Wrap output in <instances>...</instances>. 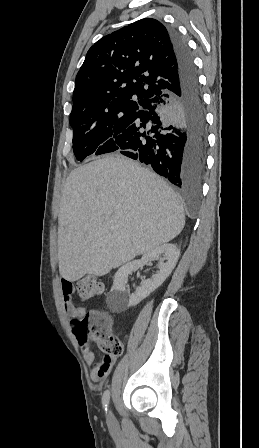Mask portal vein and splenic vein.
Masks as SVG:
<instances>
[{"label": "portal vein and splenic vein", "mask_w": 259, "mask_h": 448, "mask_svg": "<svg viewBox=\"0 0 259 448\" xmlns=\"http://www.w3.org/2000/svg\"><path fill=\"white\" fill-rule=\"evenodd\" d=\"M113 212H108V214H106L105 218H110V216H112Z\"/></svg>", "instance_id": "1"}]
</instances>
